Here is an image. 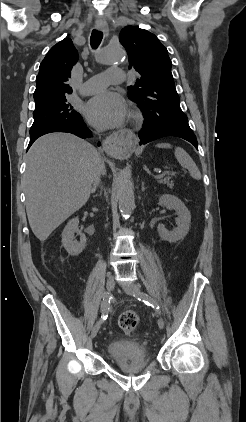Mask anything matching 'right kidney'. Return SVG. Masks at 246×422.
<instances>
[{"label": "right kidney", "mask_w": 246, "mask_h": 422, "mask_svg": "<svg viewBox=\"0 0 246 422\" xmlns=\"http://www.w3.org/2000/svg\"><path fill=\"white\" fill-rule=\"evenodd\" d=\"M78 225V217L73 218L67 223L62 232V245L64 246L66 251L72 256L79 255L86 246V237L80 232ZM75 233L80 235V241L74 240Z\"/></svg>", "instance_id": "1"}]
</instances>
